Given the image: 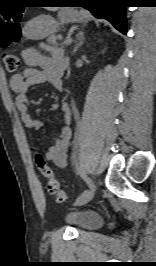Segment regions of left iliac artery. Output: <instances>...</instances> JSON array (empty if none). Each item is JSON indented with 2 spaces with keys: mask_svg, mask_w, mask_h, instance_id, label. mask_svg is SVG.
I'll list each match as a JSON object with an SVG mask.
<instances>
[{
  "mask_svg": "<svg viewBox=\"0 0 156 266\" xmlns=\"http://www.w3.org/2000/svg\"><path fill=\"white\" fill-rule=\"evenodd\" d=\"M75 166H76V169H77L78 174H80L81 177L86 181V183L88 185V188L91 189V190H94L95 189V186H93L94 185V182H90L89 178L81 170V168L79 167V165H78L77 162L75 163Z\"/></svg>",
  "mask_w": 156,
  "mask_h": 266,
  "instance_id": "44dca946",
  "label": "left iliac artery"
}]
</instances>
